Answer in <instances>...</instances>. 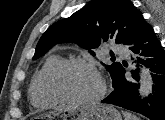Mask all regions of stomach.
<instances>
[{"label": "stomach", "instance_id": "stomach-1", "mask_svg": "<svg viewBox=\"0 0 165 120\" xmlns=\"http://www.w3.org/2000/svg\"><path fill=\"white\" fill-rule=\"evenodd\" d=\"M54 119L60 117L63 120H122L119 111L111 105H81L79 107L51 111L45 114L38 115L33 119Z\"/></svg>", "mask_w": 165, "mask_h": 120}]
</instances>
